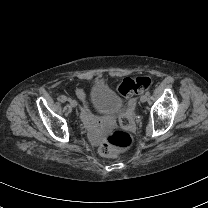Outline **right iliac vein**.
Here are the masks:
<instances>
[{
  "label": "right iliac vein",
  "mask_w": 208,
  "mask_h": 208,
  "mask_svg": "<svg viewBox=\"0 0 208 208\" xmlns=\"http://www.w3.org/2000/svg\"><path fill=\"white\" fill-rule=\"evenodd\" d=\"M70 104H71L72 107H76L77 106V102L75 100H72L70 102Z\"/></svg>",
  "instance_id": "63e3f726"
}]
</instances>
